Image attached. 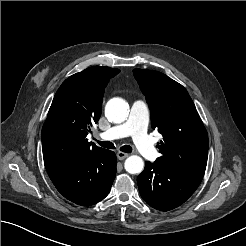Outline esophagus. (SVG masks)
<instances>
[{"instance_id": "esophagus-1", "label": "esophagus", "mask_w": 246, "mask_h": 246, "mask_svg": "<svg viewBox=\"0 0 246 246\" xmlns=\"http://www.w3.org/2000/svg\"><path fill=\"white\" fill-rule=\"evenodd\" d=\"M116 155H117V158H118L119 160H123V159H125L126 157H128L129 154L124 153V152H121V151H118Z\"/></svg>"}]
</instances>
